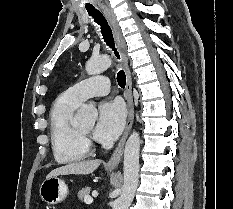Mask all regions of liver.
<instances>
[{"mask_svg": "<svg viewBox=\"0 0 233 209\" xmlns=\"http://www.w3.org/2000/svg\"><path fill=\"white\" fill-rule=\"evenodd\" d=\"M100 160H88L81 162H73L65 166L58 167L52 170L46 178L55 177L59 175H87L94 172L100 165Z\"/></svg>", "mask_w": 233, "mask_h": 209, "instance_id": "liver-1", "label": "liver"}]
</instances>
